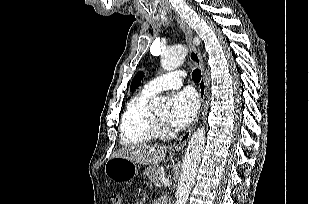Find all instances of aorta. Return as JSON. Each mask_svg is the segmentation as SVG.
<instances>
[{"mask_svg": "<svg viewBox=\"0 0 309 204\" xmlns=\"http://www.w3.org/2000/svg\"><path fill=\"white\" fill-rule=\"evenodd\" d=\"M187 49L183 45H175L166 49L161 54V66L166 71H172L180 67L186 57ZM169 103L163 97H155L150 103L152 110L168 108ZM205 129L197 128L192 134L184 155L182 172L176 191L175 204H186L191 189L195 182L197 168L201 160V154L205 146Z\"/></svg>", "mask_w": 309, "mask_h": 204, "instance_id": "obj_1", "label": "aorta"}]
</instances>
